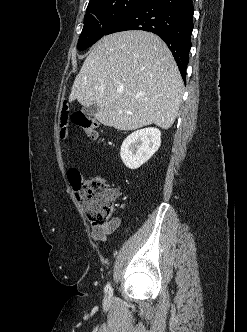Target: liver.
Returning <instances> with one entry per match:
<instances>
[{
    "label": "liver",
    "instance_id": "liver-1",
    "mask_svg": "<svg viewBox=\"0 0 247 332\" xmlns=\"http://www.w3.org/2000/svg\"><path fill=\"white\" fill-rule=\"evenodd\" d=\"M122 89V93L118 90ZM183 81L167 45L140 30L106 35L92 47L76 76L70 101L96 104L95 118L117 130L172 126Z\"/></svg>",
    "mask_w": 247,
    "mask_h": 332
}]
</instances>
